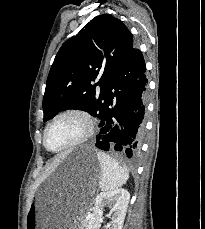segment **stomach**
Returning <instances> with one entry per match:
<instances>
[{
  "mask_svg": "<svg viewBox=\"0 0 205 229\" xmlns=\"http://www.w3.org/2000/svg\"><path fill=\"white\" fill-rule=\"evenodd\" d=\"M64 166V178L76 194L38 195L28 208L25 229H82V219L101 176V166L94 150L89 148L69 152Z\"/></svg>",
  "mask_w": 205,
  "mask_h": 229,
  "instance_id": "1",
  "label": "stomach"
}]
</instances>
